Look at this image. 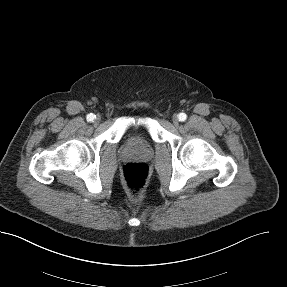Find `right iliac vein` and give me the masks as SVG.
<instances>
[{"label":"right iliac vein","mask_w":287,"mask_h":287,"mask_svg":"<svg viewBox=\"0 0 287 287\" xmlns=\"http://www.w3.org/2000/svg\"><path fill=\"white\" fill-rule=\"evenodd\" d=\"M100 120H101L100 116H97L94 120V124L95 125L99 124Z\"/></svg>","instance_id":"1"}]
</instances>
